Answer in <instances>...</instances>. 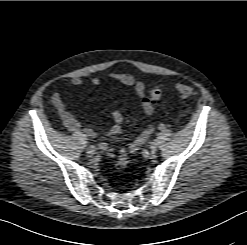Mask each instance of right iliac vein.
Listing matches in <instances>:
<instances>
[{
    "instance_id": "1",
    "label": "right iliac vein",
    "mask_w": 247,
    "mask_h": 245,
    "mask_svg": "<svg viewBox=\"0 0 247 245\" xmlns=\"http://www.w3.org/2000/svg\"><path fill=\"white\" fill-rule=\"evenodd\" d=\"M87 154H88L89 156H93V155L95 154V150H92V149L88 148V149H87Z\"/></svg>"
}]
</instances>
